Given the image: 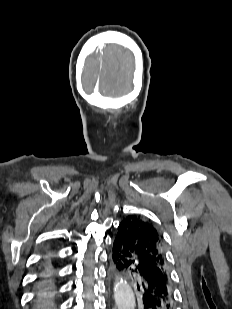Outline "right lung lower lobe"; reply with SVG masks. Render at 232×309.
I'll return each instance as SVG.
<instances>
[{"label":"right lung lower lobe","mask_w":232,"mask_h":309,"mask_svg":"<svg viewBox=\"0 0 232 309\" xmlns=\"http://www.w3.org/2000/svg\"><path fill=\"white\" fill-rule=\"evenodd\" d=\"M41 277L37 283V294L35 297V309H55L56 289L54 286V274L50 271L48 263H45L41 271Z\"/></svg>","instance_id":"98d812e1"}]
</instances>
